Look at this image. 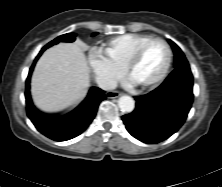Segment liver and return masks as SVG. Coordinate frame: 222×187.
<instances>
[{"mask_svg":"<svg viewBox=\"0 0 222 187\" xmlns=\"http://www.w3.org/2000/svg\"><path fill=\"white\" fill-rule=\"evenodd\" d=\"M89 67L76 43H59L47 49L38 60L31 80V93L37 107L56 112L76 105L86 94Z\"/></svg>","mask_w":222,"mask_h":187,"instance_id":"1","label":"liver"}]
</instances>
